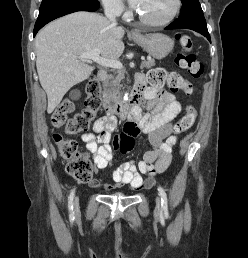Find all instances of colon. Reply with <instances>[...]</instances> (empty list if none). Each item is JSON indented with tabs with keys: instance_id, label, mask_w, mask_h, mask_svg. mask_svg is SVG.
I'll list each match as a JSON object with an SVG mask.
<instances>
[{
	"instance_id": "obj_1",
	"label": "colon",
	"mask_w": 248,
	"mask_h": 258,
	"mask_svg": "<svg viewBox=\"0 0 248 258\" xmlns=\"http://www.w3.org/2000/svg\"><path fill=\"white\" fill-rule=\"evenodd\" d=\"M180 45L185 51H189L193 46L190 36L178 34L176 36ZM176 64L186 70L192 78H199L203 73V66L197 57L188 52H179L175 56ZM148 81L151 85L162 87L168 85L173 91L182 90L190 95L193 92L192 86L183 81L176 73H170L162 68L152 69L148 73ZM101 84L97 78L92 77L86 84V101L84 110L74 118L68 119V114L74 110V102L70 99L63 100L55 109L51 116V123L54 127H64L68 135L77 134L88 129L90 122L95 117L101 105ZM196 110L192 106H187L183 116L173 127L174 134H181L189 130L196 119ZM54 143L59 154L68 160L66 169L68 174L81 183H89L93 179V168L90 161L81 154L75 140L67 138L61 133L53 135ZM132 138L125 131L116 137L113 145L116 149H121L123 155H133L135 144ZM151 172L153 170L151 169Z\"/></svg>"
}]
</instances>
